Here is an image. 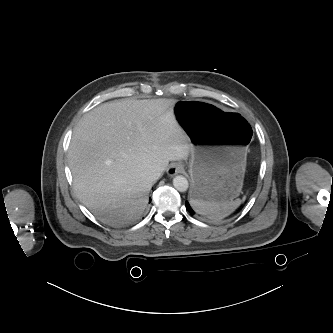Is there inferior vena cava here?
<instances>
[{
  "mask_svg": "<svg viewBox=\"0 0 333 333\" xmlns=\"http://www.w3.org/2000/svg\"><path fill=\"white\" fill-rule=\"evenodd\" d=\"M161 174H162L161 170H147L142 174V176L144 178H149V179H152V180H156L161 176Z\"/></svg>",
  "mask_w": 333,
  "mask_h": 333,
  "instance_id": "obj_1",
  "label": "inferior vena cava"
}]
</instances>
